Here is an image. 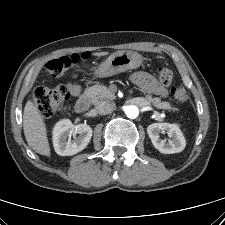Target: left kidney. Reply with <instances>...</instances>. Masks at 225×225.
<instances>
[{
    "label": "left kidney",
    "mask_w": 225,
    "mask_h": 225,
    "mask_svg": "<svg viewBox=\"0 0 225 225\" xmlns=\"http://www.w3.org/2000/svg\"><path fill=\"white\" fill-rule=\"evenodd\" d=\"M167 132L170 136L168 141L160 139V133ZM147 133L156 149L164 154L179 153L186 146L185 138L177 124L153 123L147 127Z\"/></svg>",
    "instance_id": "5707ae66"
}]
</instances>
